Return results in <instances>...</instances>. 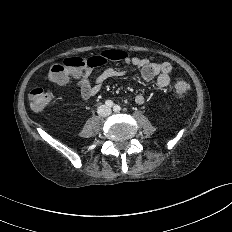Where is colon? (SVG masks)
<instances>
[{
	"label": "colon",
	"instance_id": "obj_1",
	"mask_svg": "<svg viewBox=\"0 0 232 232\" xmlns=\"http://www.w3.org/2000/svg\"><path fill=\"white\" fill-rule=\"evenodd\" d=\"M100 55L92 57H69L58 61L51 66L49 79L51 81L60 82L69 79L74 75L84 71L97 63ZM189 92V84L179 79L174 86V94L178 98H184ZM30 107L34 112H41L54 101V94L47 90L44 86L38 85L34 87L29 94Z\"/></svg>",
	"mask_w": 232,
	"mask_h": 232
}]
</instances>
